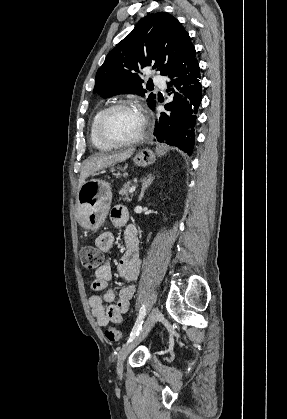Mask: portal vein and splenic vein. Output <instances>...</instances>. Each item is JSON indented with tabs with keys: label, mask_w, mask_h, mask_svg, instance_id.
Returning <instances> with one entry per match:
<instances>
[{
	"label": "portal vein and splenic vein",
	"mask_w": 287,
	"mask_h": 419,
	"mask_svg": "<svg viewBox=\"0 0 287 419\" xmlns=\"http://www.w3.org/2000/svg\"><path fill=\"white\" fill-rule=\"evenodd\" d=\"M135 190H136V186H132L129 192L133 193V192H135Z\"/></svg>",
	"instance_id": "portal-vein-and-splenic-vein-1"
}]
</instances>
